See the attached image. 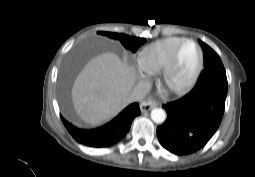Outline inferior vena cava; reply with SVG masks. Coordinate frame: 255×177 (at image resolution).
<instances>
[{
    "instance_id": "obj_1",
    "label": "inferior vena cava",
    "mask_w": 255,
    "mask_h": 177,
    "mask_svg": "<svg viewBox=\"0 0 255 177\" xmlns=\"http://www.w3.org/2000/svg\"><path fill=\"white\" fill-rule=\"evenodd\" d=\"M150 86L148 83L145 82H139L135 85L133 90L130 92V94L126 98L127 103L137 102L141 101L145 95L149 92Z\"/></svg>"
}]
</instances>
